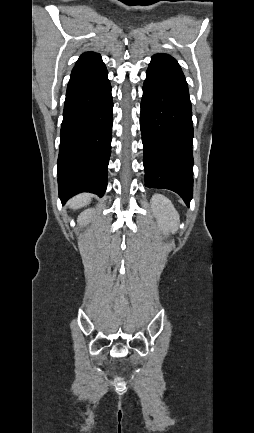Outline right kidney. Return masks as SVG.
<instances>
[{
	"instance_id": "ca27d5eb",
	"label": "right kidney",
	"mask_w": 254,
	"mask_h": 433,
	"mask_svg": "<svg viewBox=\"0 0 254 433\" xmlns=\"http://www.w3.org/2000/svg\"><path fill=\"white\" fill-rule=\"evenodd\" d=\"M93 217V212L91 210L85 211L82 213L79 218L78 222L80 225H87Z\"/></svg>"
}]
</instances>
